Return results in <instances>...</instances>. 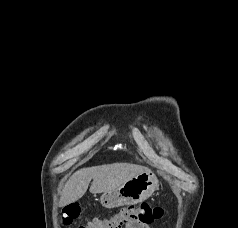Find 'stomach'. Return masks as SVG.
Wrapping results in <instances>:
<instances>
[{
  "label": "stomach",
  "instance_id": "obj_1",
  "mask_svg": "<svg viewBox=\"0 0 238 228\" xmlns=\"http://www.w3.org/2000/svg\"><path fill=\"white\" fill-rule=\"evenodd\" d=\"M156 175L147 171L135 176L113 191L104 192L100 197L106 208L137 204L150 197L158 188Z\"/></svg>",
  "mask_w": 238,
  "mask_h": 228
}]
</instances>
